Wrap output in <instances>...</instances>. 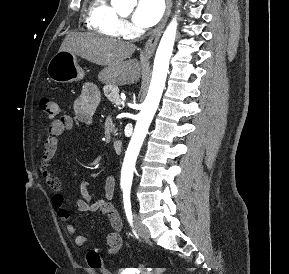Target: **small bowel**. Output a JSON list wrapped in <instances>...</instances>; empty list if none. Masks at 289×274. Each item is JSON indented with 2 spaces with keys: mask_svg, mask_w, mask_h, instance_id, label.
<instances>
[{
  "mask_svg": "<svg viewBox=\"0 0 289 274\" xmlns=\"http://www.w3.org/2000/svg\"><path fill=\"white\" fill-rule=\"evenodd\" d=\"M100 91L94 84L88 83L83 86L79 96L74 101V116L62 115L53 120L48 128L47 136L44 142L42 152V174L47 185L52 189L51 198L54 208L57 210L59 219L66 223V230L70 235L76 233V228L69 223L70 213L65 204V190L59 180L50 170L58 149L59 137L66 131L71 130L74 124H90L92 122L95 109L100 101ZM115 191V178L108 175L104 184V197L93 201L90 193V185L83 182L80 186V198L76 201V208L80 212H100L107 218L110 224V232L106 237V243L109 253H116L123 245L122 222L117 210L112 204V198ZM75 243L83 247L88 243V237L77 235Z\"/></svg>",
  "mask_w": 289,
  "mask_h": 274,
  "instance_id": "c3829d8e",
  "label": "small bowel"
}]
</instances>
